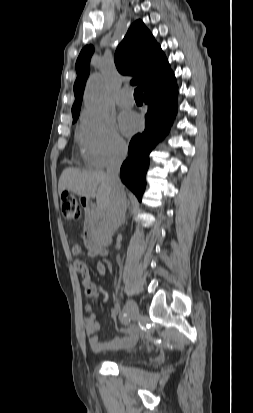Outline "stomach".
Segmentation results:
<instances>
[{"label":"stomach","mask_w":253,"mask_h":413,"mask_svg":"<svg viewBox=\"0 0 253 413\" xmlns=\"http://www.w3.org/2000/svg\"><path fill=\"white\" fill-rule=\"evenodd\" d=\"M81 201H82L83 204H87V203H88V199L85 198V197H82V198H81Z\"/></svg>","instance_id":"obj_1"}]
</instances>
